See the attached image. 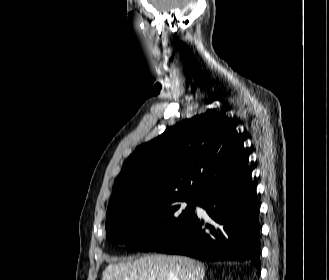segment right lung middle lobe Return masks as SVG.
Here are the masks:
<instances>
[{"mask_svg":"<svg viewBox=\"0 0 329 280\" xmlns=\"http://www.w3.org/2000/svg\"><path fill=\"white\" fill-rule=\"evenodd\" d=\"M186 201L184 208L181 202ZM198 197L147 196L107 209L106 238L149 252L176 237L193 218Z\"/></svg>","mask_w":329,"mask_h":280,"instance_id":"1","label":"right lung middle lobe"}]
</instances>
